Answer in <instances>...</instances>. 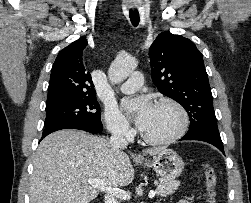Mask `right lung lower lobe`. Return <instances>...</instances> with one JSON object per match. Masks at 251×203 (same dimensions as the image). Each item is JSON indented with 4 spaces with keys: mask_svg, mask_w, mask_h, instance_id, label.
<instances>
[{
    "mask_svg": "<svg viewBox=\"0 0 251 203\" xmlns=\"http://www.w3.org/2000/svg\"><path fill=\"white\" fill-rule=\"evenodd\" d=\"M61 129H78V130H84L86 132H90L93 134H97L101 131L94 129L88 125H85L83 123H79V122H65V123H61V124H57V125H52L49 127H45L44 131H43V135L41 140L46 137L48 134L55 132L57 130H61Z\"/></svg>",
    "mask_w": 251,
    "mask_h": 203,
    "instance_id": "1",
    "label": "right lung lower lobe"
}]
</instances>
